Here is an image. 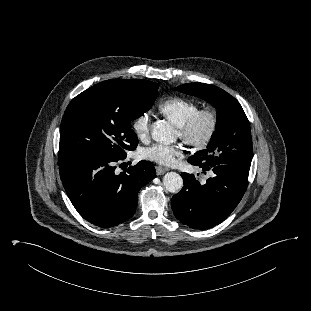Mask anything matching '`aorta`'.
Segmentation results:
<instances>
[{
    "label": "aorta",
    "instance_id": "obj_1",
    "mask_svg": "<svg viewBox=\"0 0 311 311\" xmlns=\"http://www.w3.org/2000/svg\"><path fill=\"white\" fill-rule=\"evenodd\" d=\"M151 136L154 141L166 145L173 143L176 139L173 126L165 121H159L153 125ZM163 185L167 191L177 193L183 187V179L175 172H168L163 177Z\"/></svg>",
    "mask_w": 311,
    "mask_h": 311
}]
</instances>
